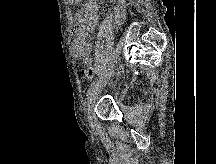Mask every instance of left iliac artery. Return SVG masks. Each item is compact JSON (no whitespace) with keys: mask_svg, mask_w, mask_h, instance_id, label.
<instances>
[{"mask_svg":"<svg viewBox=\"0 0 216 164\" xmlns=\"http://www.w3.org/2000/svg\"><path fill=\"white\" fill-rule=\"evenodd\" d=\"M101 78H102V76H100V77L96 80V82L92 85L91 89L88 91V94H87L88 98H89V96L92 95L93 91L97 88L99 82L101 81Z\"/></svg>","mask_w":216,"mask_h":164,"instance_id":"1","label":"left iliac artery"}]
</instances>
